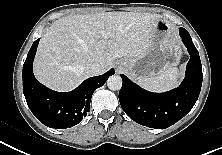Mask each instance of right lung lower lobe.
I'll return each instance as SVG.
<instances>
[{
  "instance_id": "1",
  "label": "right lung lower lobe",
  "mask_w": 222,
  "mask_h": 155,
  "mask_svg": "<svg viewBox=\"0 0 222 155\" xmlns=\"http://www.w3.org/2000/svg\"><path fill=\"white\" fill-rule=\"evenodd\" d=\"M39 40L33 43L23 65V93L26 102L44 125L56 129L72 127L86 116L93 92L105 84L109 76L114 74V69L85 80L71 92L52 91L39 83L33 74L32 64Z\"/></svg>"
}]
</instances>
